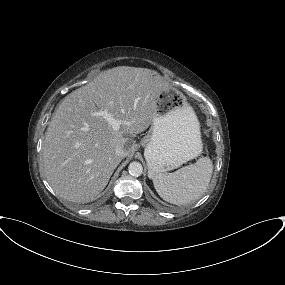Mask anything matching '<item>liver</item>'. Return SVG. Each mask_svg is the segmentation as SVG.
<instances>
[{
    "label": "liver",
    "instance_id": "1",
    "mask_svg": "<svg viewBox=\"0 0 285 285\" xmlns=\"http://www.w3.org/2000/svg\"><path fill=\"white\" fill-rule=\"evenodd\" d=\"M161 79L145 68L119 66L101 72L59 104L45 134L44 173L55 193L76 203L94 200L121 160L131 154L133 135L156 116ZM107 110L122 123L119 130L93 113ZM123 148L125 156L116 155Z\"/></svg>",
    "mask_w": 285,
    "mask_h": 285
}]
</instances>
